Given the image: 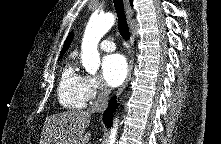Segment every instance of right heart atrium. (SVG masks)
I'll return each instance as SVG.
<instances>
[{"label":"right heart atrium","mask_w":221,"mask_h":144,"mask_svg":"<svg viewBox=\"0 0 221 144\" xmlns=\"http://www.w3.org/2000/svg\"><path fill=\"white\" fill-rule=\"evenodd\" d=\"M83 93L87 101H96L107 93L103 82L96 76H84Z\"/></svg>","instance_id":"d8ad5b80"}]
</instances>
